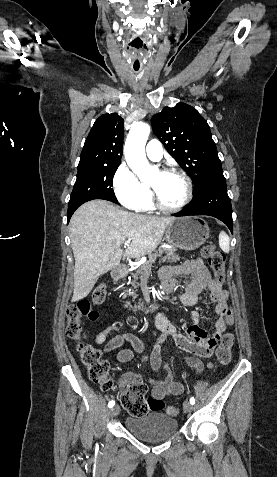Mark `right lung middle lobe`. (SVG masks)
Here are the masks:
<instances>
[{"instance_id": "obj_1", "label": "right lung middle lobe", "mask_w": 277, "mask_h": 477, "mask_svg": "<svg viewBox=\"0 0 277 477\" xmlns=\"http://www.w3.org/2000/svg\"><path fill=\"white\" fill-rule=\"evenodd\" d=\"M119 165L78 169L77 179L68 204L67 218L83 203L93 199H104L117 203L111 188L113 176Z\"/></svg>"}]
</instances>
